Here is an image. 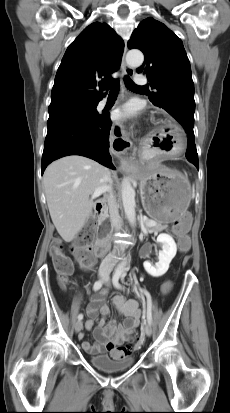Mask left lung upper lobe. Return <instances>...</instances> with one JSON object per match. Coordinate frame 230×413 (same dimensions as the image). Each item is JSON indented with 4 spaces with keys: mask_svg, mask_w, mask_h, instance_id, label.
I'll return each instance as SVG.
<instances>
[{
    "mask_svg": "<svg viewBox=\"0 0 230 413\" xmlns=\"http://www.w3.org/2000/svg\"><path fill=\"white\" fill-rule=\"evenodd\" d=\"M128 48L144 54L138 73L147 75L154 89L150 101L166 110L187 132L194 126V83L181 39L163 23L149 17L134 30Z\"/></svg>",
    "mask_w": 230,
    "mask_h": 413,
    "instance_id": "obj_1",
    "label": "left lung upper lobe"
}]
</instances>
